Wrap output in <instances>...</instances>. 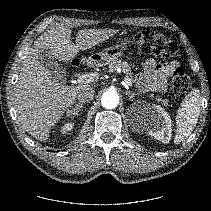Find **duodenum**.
<instances>
[{
	"label": "duodenum",
	"instance_id": "410a0bca",
	"mask_svg": "<svg viewBox=\"0 0 211 211\" xmlns=\"http://www.w3.org/2000/svg\"><path fill=\"white\" fill-rule=\"evenodd\" d=\"M92 64H94V59H90V60L87 61V65L90 66V65H92Z\"/></svg>",
	"mask_w": 211,
	"mask_h": 211
}]
</instances>
